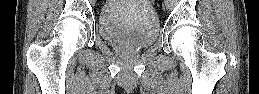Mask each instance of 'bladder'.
<instances>
[{
  "instance_id": "1",
  "label": "bladder",
  "mask_w": 259,
  "mask_h": 94,
  "mask_svg": "<svg viewBox=\"0 0 259 94\" xmlns=\"http://www.w3.org/2000/svg\"><path fill=\"white\" fill-rule=\"evenodd\" d=\"M109 43L147 47L158 37V20L152 6L143 0L112 1L103 8L98 24Z\"/></svg>"
}]
</instances>
